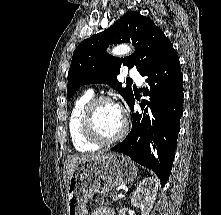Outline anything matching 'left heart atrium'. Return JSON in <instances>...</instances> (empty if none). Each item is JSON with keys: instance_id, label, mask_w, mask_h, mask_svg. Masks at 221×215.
Returning <instances> with one entry per match:
<instances>
[{"instance_id": "39dd6f15", "label": "left heart atrium", "mask_w": 221, "mask_h": 215, "mask_svg": "<svg viewBox=\"0 0 221 215\" xmlns=\"http://www.w3.org/2000/svg\"><path fill=\"white\" fill-rule=\"evenodd\" d=\"M114 107H115L117 113L122 117L123 116L122 107L118 103H115Z\"/></svg>"}]
</instances>
